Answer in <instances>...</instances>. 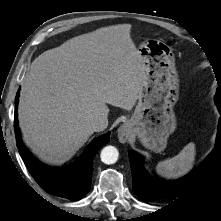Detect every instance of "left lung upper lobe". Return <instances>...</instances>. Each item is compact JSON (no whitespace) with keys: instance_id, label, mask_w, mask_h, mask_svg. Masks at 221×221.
Listing matches in <instances>:
<instances>
[{"instance_id":"obj_1","label":"left lung upper lobe","mask_w":221,"mask_h":221,"mask_svg":"<svg viewBox=\"0 0 221 221\" xmlns=\"http://www.w3.org/2000/svg\"><path fill=\"white\" fill-rule=\"evenodd\" d=\"M219 96H220L219 94H216V95H215V98H216V97H219ZM220 97H221V96H220Z\"/></svg>"}]
</instances>
